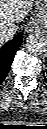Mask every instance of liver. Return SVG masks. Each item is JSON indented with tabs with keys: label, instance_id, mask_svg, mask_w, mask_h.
I'll return each mask as SVG.
<instances>
[{
	"label": "liver",
	"instance_id": "liver-1",
	"mask_svg": "<svg viewBox=\"0 0 47 129\" xmlns=\"http://www.w3.org/2000/svg\"><path fill=\"white\" fill-rule=\"evenodd\" d=\"M33 0H0V31L19 23L32 9ZM5 41L0 39V45Z\"/></svg>",
	"mask_w": 47,
	"mask_h": 129
}]
</instances>
